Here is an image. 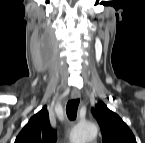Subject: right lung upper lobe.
Masks as SVG:
<instances>
[{"mask_svg":"<svg viewBox=\"0 0 145 143\" xmlns=\"http://www.w3.org/2000/svg\"><path fill=\"white\" fill-rule=\"evenodd\" d=\"M55 131L50 126L47 107L35 114L16 137L15 143H54Z\"/></svg>","mask_w":145,"mask_h":143,"instance_id":"cb5924a9","label":"right lung upper lobe"}]
</instances>
